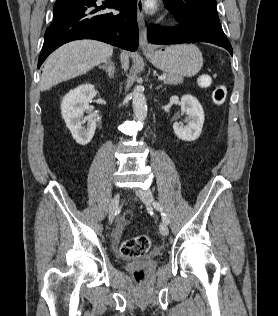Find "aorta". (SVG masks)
Wrapping results in <instances>:
<instances>
[{"mask_svg":"<svg viewBox=\"0 0 278 316\" xmlns=\"http://www.w3.org/2000/svg\"><path fill=\"white\" fill-rule=\"evenodd\" d=\"M133 112L138 120H145L147 117V103L143 92L136 87L132 92Z\"/></svg>","mask_w":278,"mask_h":316,"instance_id":"obj_1","label":"aorta"}]
</instances>
